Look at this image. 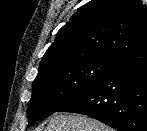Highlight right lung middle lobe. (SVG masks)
<instances>
[{
    "label": "right lung middle lobe",
    "instance_id": "obj_1",
    "mask_svg": "<svg viewBox=\"0 0 147 131\" xmlns=\"http://www.w3.org/2000/svg\"><path fill=\"white\" fill-rule=\"evenodd\" d=\"M117 61L88 57L37 74L28 102L29 126L69 104L99 82Z\"/></svg>",
    "mask_w": 147,
    "mask_h": 131
}]
</instances>
